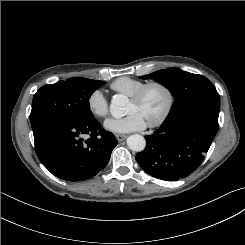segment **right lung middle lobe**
Here are the masks:
<instances>
[{"instance_id": "1", "label": "right lung middle lobe", "mask_w": 245, "mask_h": 245, "mask_svg": "<svg viewBox=\"0 0 245 245\" xmlns=\"http://www.w3.org/2000/svg\"><path fill=\"white\" fill-rule=\"evenodd\" d=\"M106 82L81 77L61 80L41 87L33 97L31 126L46 118L65 122H85L94 119L89 99Z\"/></svg>"}]
</instances>
